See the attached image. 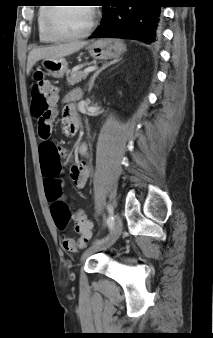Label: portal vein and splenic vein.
<instances>
[{"mask_svg":"<svg viewBox=\"0 0 213 338\" xmlns=\"http://www.w3.org/2000/svg\"><path fill=\"white\" fill-rule=\"evenodd\" d=\"M97 67L96 66H90V67H87L84 69V73H89V72H92L96 69Z\"/></svg>","mask_w":213,"mask_h":338,"instance_id":"1","label":"portal vein and splenic vein"}]
</instances>
